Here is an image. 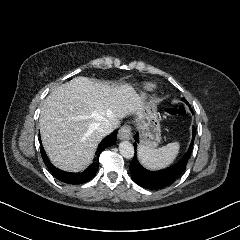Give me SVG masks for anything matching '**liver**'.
Returning a JSON list of instances; mask_svg holds the SVG:
<instances>
[{
  "instance_id": "1",
  "label": "liver",
  "mask_w": 240,
  "mask_h": 240,
  "mask_svg": "<svg viewBox=\"0 0 240 240\" xmlns=\"http://www.w3.org/2000/svg\"><path fill=\"white\" fill-rule=\"evenodd\" d=\"M144 103L132 85H108L87 77L62 84L44 101L39 118L41 139L51 162L62 170L83 171L103 136L99 123L142 116Z\"/></svg>"
}]
</instances>
